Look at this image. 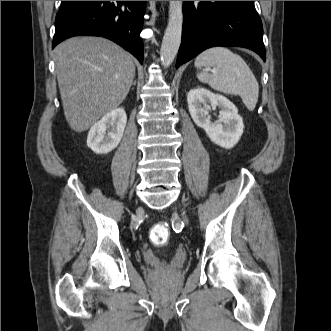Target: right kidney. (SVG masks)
Here are the masks:
<instances>
[{
    "mask_svg": "<svg viewBox=\"0 0 331 331\" xmlns=\"http://www.w3.org/2000/svg\"><path fill=\"white\" fill-rule=\"evenodd\" d=\"M127 123L123 108L110 111L95 123L87 136V146L97 154H107L120 143Z\"/></svg>",
    "mask_w": 331,
    "mask_h": 331,
    "instance_id": "right-kidney-1",
    "label": "right kidney"
}]
</instances>
